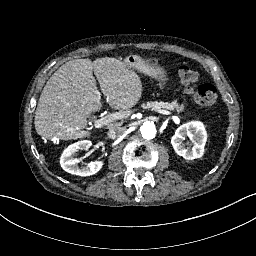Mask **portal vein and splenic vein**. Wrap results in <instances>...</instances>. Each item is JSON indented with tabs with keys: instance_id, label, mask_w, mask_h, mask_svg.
Returning <instances> with one entry per match:
<instances>
[{
	"instance_id": "1",
	"label": "portal vein and splenic vein",
	"mask_w": 256,
	"mask_h": 256,
	"mask_svg": "<svg viewBox=\"0 0 256 256\" xmlns=\"http://www.w3.org/2000/svg\"><path fill=\"white\" fill-rule=\"evenodd\" d=\"M141 109H145V110H150L152 112H156V113H161L162 114H170L169 111H166V108H157V109H153V107H145V106H141ZM133 114V111L132 110H129L127 112L125 111H119V112H115V113H112L110 115H106L100 119H97L94 121V126L95 128H101L102 126L104 125H107L115 120H120V119H123L124 117L126 116H130Z\"/></svg>"
}]
</instances>
